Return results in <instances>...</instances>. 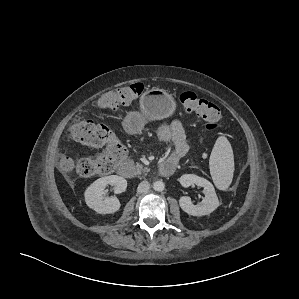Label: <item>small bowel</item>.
Listing matches in <instances>:
<instances>
[{"label":"small bowel","instance_id":"obj_1","mask_svg":"<svg viewBox=\"0 0 299 299\" xmlns=\"http://www.w3.org/2000/svg\"><path fill=\"white\" fill-rule=\"evenodd\" d=\"M157 136L160 141L173 145L172 151L166 160L178 163L189 151V145L182 123L179 120H173L164 123L157 129Z\"/></svg>","mask_w":299,"mask_h":299}]
</instances>
